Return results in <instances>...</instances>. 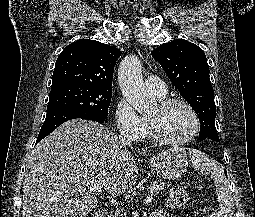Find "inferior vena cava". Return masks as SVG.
Segmentation results:
<instances>
[{
  "label": "inferior vena cava",
  "instance_id": "1",
  "mask_svg": "<svg viewBox=\"0 0 255 217\" xmlns=\"http://www.w3.org/2000/svg\"><path fill=\"white\" fill-rule=\"evenodd\" d=\"M130 136H128L127 134L121 133L119 136V142H120V146H126V145H130Z\"/></svg>",
  "mask_w": 255,
  "mask_h": 217
}]
</instances>
